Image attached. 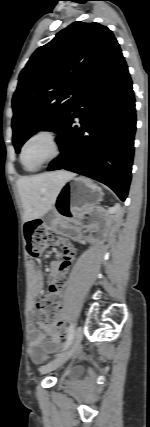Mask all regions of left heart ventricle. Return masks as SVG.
Masks as SVG:
<instances>
[{"label":"left heart ventricle","instance_id":"b2bd125f","mask_svg":"<svg viewBox=\"0 0 150 427\" xmlns=\"http://www.w3.org/2000/svg\"><path fill=\"white\" fill-rule=\"evenodd\" d=\"M53 153L51 142L44 137L37 138L30 142L24 152V164L28 168H33L41 161L48 158Z\"/></svg>","mask_w":150,"mask_h":427}]
</instances>
